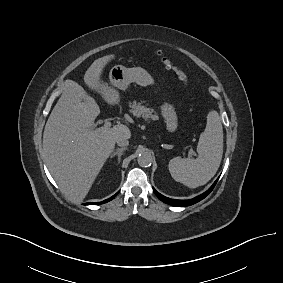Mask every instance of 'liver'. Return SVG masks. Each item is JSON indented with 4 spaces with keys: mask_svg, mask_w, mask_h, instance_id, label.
<instances>
[{
    "mask_svg": "<svg viewBox=\"0 0 283 283\" xmlns=\"http://www.w3.org/2000/svg\"><path fill=\"white\" fill-rule=\"evenodd\" d=\"M114 55L95 60L84 75L85 84L109 105H118L120 94L101 80L103 68ZM115 87V86H114ZM100 108L76 82L69 81L53 108L43 133V150L48 169L61 191L81 202L88 194L117 139H130V129L115 125L93 128Z\"/></svg>",
    "mask_w": 283,
    "mask_h": 283,
    "instance_id": "liver-1",
    "label": "liver"
}]
</instances>
